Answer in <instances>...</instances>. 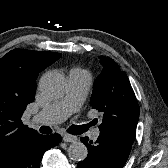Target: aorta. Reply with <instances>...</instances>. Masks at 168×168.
<instances>
[{"instance_id": "aorta-1", "label": "aorta", "mask_w": 168, "mask_h": 168, "mask_svg": "<svg viewBox=\"0 0 168 168\" xmlns=\"http://www.w3.org/2000/svg\"><path fill=\"white\" fill-rule=\"evenodd\" d=\"M39 89L47 99L59 98L66 89L65 77L58 72H48L41 77ZM67 152L69 158L76 162L83 161L88 154L87 147L82 142H73Z\"/></svg>"}]
</instances>
